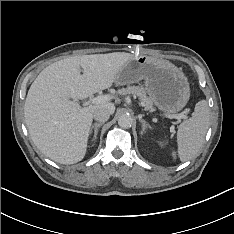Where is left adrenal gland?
<instances>
[{"label": "left adrenal gland", "instance_id": "left-adrenal-gland-1", "mask_svg": "<svg viewBox=\"0 0 234 234\" xmlns=\"http://www.w3.org/2000/svg\"><path fill=\"white\" fill-rule=\"evenodd\" d=\"M139 121L142 123L141 134H143L145 132V129H147V128L151 129V126L145 120L139 119Z\"/></svg>", "mask_w": 234, "mask_h": 234}]
</instances>
